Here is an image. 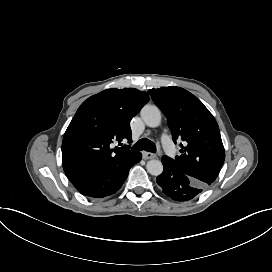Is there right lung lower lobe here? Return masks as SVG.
Listing matches in <instances>:
<instances>
[{
	"label": "right lung lower lobe",
	"instance_id": "1",
	"mask_svg": "<svg viewBox=\"0 0 272 272\" xmlns=\"http://www.w3.org/2000/svg\"><path fill=\"white\" fill-rule=\"evenodd\" d=\"M142 158L140 152H135L116 165L99 173L78 179L73 183L83 195L92 198H104L117 192L126 180L130 168Z\"/></svg>",
	"mask_w": 272,
	"mask_h": 272
}]
</instances>
